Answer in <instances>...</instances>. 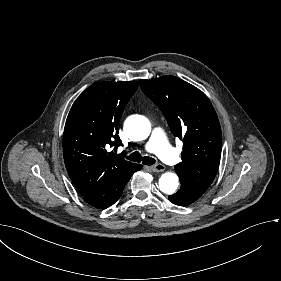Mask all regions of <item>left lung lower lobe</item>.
<instances>
[{
    "instance_id": "obj_1",
    "label": "left lung lower lobe",
    "mask_w": 281,
    "mask_h": 281,
    "mask_svg": "<svg viewBox=\"0 0 281 281\" xmlns=\"http://www.w3.org/2000/svg\"><path fill=\"white\" fill-rule=\"evenodd\" d=\"M202 194V192L181 182L180 189L175 194L170 195L168 198L173 204L187 206L198 200Z\"/></svg>"
}]
</instances>
